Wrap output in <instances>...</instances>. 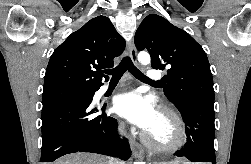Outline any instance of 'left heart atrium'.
<instances>
[{
    "label": "left heart atrium",
    "mask_w": 251,
    "mask_h": 164,
    "mask_svg": "<svg viewBox=\"0 0 251 164\" xmlns=\"http://www.w3.org/2000/svg\"><path fill=\"white\" fill-rule=\"evenodd\" d=\"M115 112L147 132L154 128L159 113L153 103L138 91H129L116 97Z\"/></svg>",
    "instance_id": "1"
}]
</instances>
